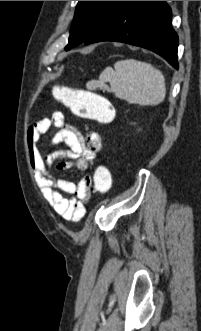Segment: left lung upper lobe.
I'll return each mask as SVG.
<instances>
[{
  "instance_id": "left-lung-upper-lobe-1",
  "label": "left lung upper lobe",
  "mask_w": 201,
  "mask_h": 331,
  "mask_svg": "<svg viewBox=\"0 0 201 331\" xmlns=\"http://www.w3.org/2000/svg\"><path fill=\"white\" fill-rule=\"evenodd\" d=\"M119 2L79 1L70 31L69 43L65 48L71 49L84 42Z\"/></svg>"
}]
</instances>
